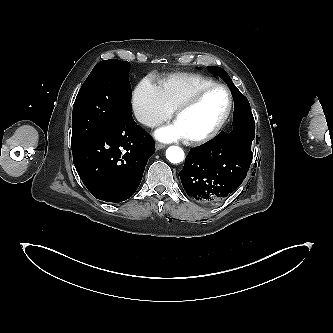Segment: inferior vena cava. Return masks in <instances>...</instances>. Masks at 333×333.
<instances>
[{"mask_svg": "<svg viewBox=\"0 0 333 333\" xmlns=\"http://www.w3.org/2000/svg\"><path fill=\"white\" fill-rule=\"evenodd\" d=\"M137 119L139 122L147 125V126H156L159 122L152 117L144 116V115H137Z\"/></svg>", "mask_w": 333, "mask_h": 333, "instance_id": "obj_1", "label": "inferior vena cava"}]
</instances>
